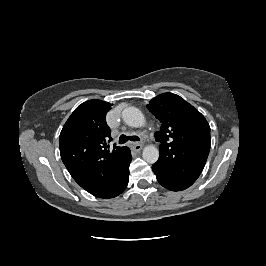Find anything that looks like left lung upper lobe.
Returning <instances> with one entry per match:
<instances>
[{
	"label": "left lung upper lobe",
	"instance_id": "5c2ea615",
	"mask_svg": "<svg viewBox=\"0 0 266 266\" xmlns=\"http://www.w3.org/2000/svg\"><path fill=\"white\" fill-rule=\"evenodd\" d=\"M149 111L162 125L156 132L160 156L154 164L167 175L195 181L210 151V126L205 117L180 96L163 93L153 98Z\"/></svg>",
	"mask_w": 266,
	"mask_h": 266
}]
</instances>
